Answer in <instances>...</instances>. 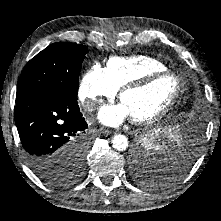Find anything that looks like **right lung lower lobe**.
Wrapping results in <instances>:
<instances>
[{"label": "right lung lower lobe", "instance_id": "1", "mask_svg": "<svg viewBox=\"0 0 221 221\" xmlns=\"http://www.w3.org/2000/svg\"><path fill=\"white\" fill-rule=\"evenodd\" d=\"M14 117L26 159L36 174L39 166L48 163L63 169L73 150L87 141V123L77 98L66 93L25 97L16 102Z\"/></svg>", "mask_w": 221, "mask_h": 221}]
</instances>
